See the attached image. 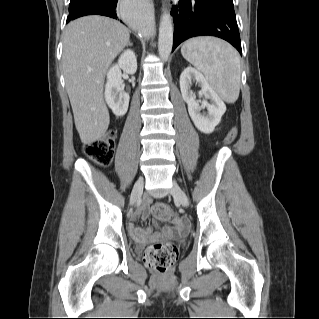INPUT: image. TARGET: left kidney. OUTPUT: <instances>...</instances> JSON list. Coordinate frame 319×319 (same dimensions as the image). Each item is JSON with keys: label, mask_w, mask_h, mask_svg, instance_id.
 I'll return each instance as SVG.
<instances>
[{"label": "left kidney", "mask_w": 319, "mask_h": 319, "mask_svg": "<svg viewBox=\"0 0 319 319\" xmlns=\"http://www.w3.org/2000/svg\"><path fill=\"white\" fill-rule=\"evenodd\" d=\"M192 81H196L198 86L201 87V95L204 96L201 106L199 105V101L196 100L194 92L191 90ZM180 89L183 100L188 105L189 115L196 128L206 134L212 133L226 111L224 102L210 87L204 76L193 67H187L181 73ZM207 99L210 100V103ZM201 108H206L207 113L201 114Z\"/></svg>", "instance_id": "1"}]
</instances>
